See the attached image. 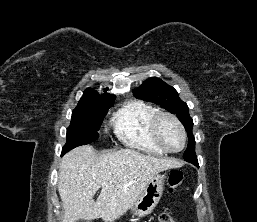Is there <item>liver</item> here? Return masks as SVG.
Here are the masks:
<instances>
[{"label":"liver","instance_id":"liver-1","mask_svg":"<svg viewBox=\"0 0 257 222\" xmlns=\"http://www.w3.org/2000/svg\"><path fill=\"white\" fill-rule=\"evenodd\" d=\"M173 159L157 158L133 149L96 155L92 146L69 151L62 159L58 191L64 207L63 222L78 219H119L161 171L180 167ZM101 193L94 201L98 189Z\"/></svg>","mask_w":257,"mask_h":222}]
</instances>
